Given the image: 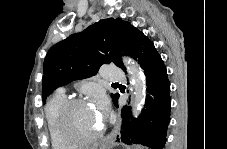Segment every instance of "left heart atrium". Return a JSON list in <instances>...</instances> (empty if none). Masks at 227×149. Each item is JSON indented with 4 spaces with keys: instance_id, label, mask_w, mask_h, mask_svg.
Here are the masks:
<instances>
[{
    "instance_id": "left-heart-atrium-1",
    "label": "left heart atrium",
    "mask_w": 227,
    "mask_h": 149,
    "mask_svg": "<svg viewBox=\"0 0 227 149\" xmlns=\"http://www.w3.org/2000/svg\"><path fill=\"white\" fill-rule=\"evenodd\" d=\"M96 106L101 115L104 116L106 112L107 102L103 96L97 97Z\"/></svg>"
}]
</instances>
